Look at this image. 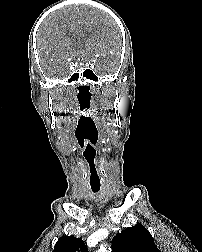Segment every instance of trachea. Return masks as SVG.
<instances>
[{
	"label": "trachea",
	"instance_id": "trachea-1",
	"mask_svg": "<svg viewBox=\"0 0 202 252\" xmlns=\"http://www.w3.org/2000/svg\"><path fill=\"white\" fill-rule=\"evenodd\" d=\"M99 189H100L99 187H92V191H93V192H98Z\"/></svg>",
	"mask_w": 202,
	"mask_h": 252
}]
</instances>
